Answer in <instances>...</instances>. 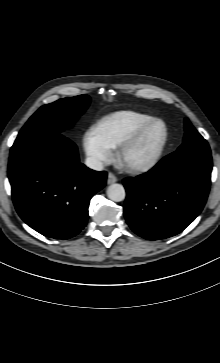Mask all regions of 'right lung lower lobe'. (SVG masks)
Instances as JSON below:
<instances>
[{
	"label": "right lung lower lobe",
	"instance_id": "obj_1",
	"mask_svg": "<svg viewBox=\"0 0 220 363\" xmlns=\"http://www.w3.org/2000/svg\"><path fill=\"white\" fill-rule=\"evenodd\" d=\"M8 177L23 221L44 236L69 239L85 227L90 199L107 173L80 163L75 144L53 134L11 152Z\"/></svg>",
	"mask_w": 220,
	"mask_h": 363
}]
</instances>
